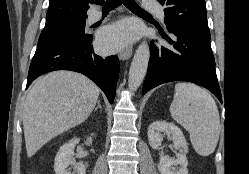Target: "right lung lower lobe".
<instances>
[{
  "mask_svg": "<svg viewBox=\"0 0 249 174\" xmlns=\"http://www.w3.org/2000/svg\"><path fill=\"white\" fill-rule=\"evenodd\" d=\"M91 43L92 36H88L65 38L37 47L30 64L27 87L44 73L71 70L89 77L104 91L109 102L113 103L119 76V59L116 55L106 58L96 55Z\"/></svg>",
  "mask_w": 249,
  "mask_h": 174,
  "instance_id": "obj_1",
  "label": "right lung lower lobe"
}]
</instances>
